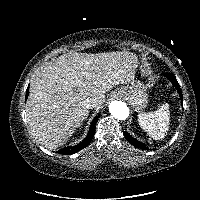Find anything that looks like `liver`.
<instances>
[{"instance_id":"obj_1","label":"liver","mask_w":200,"mask_h":200,"mask_svg":"<svg viewBox=\"0 0 200 200\" xmlns=\"http://www.w3.org/2000/svg\"><path fill=\"white\" fill-rule=\"evenodd\" d=\"M137 66L136 55L127 51L70 52L43 65L31 79L26 104L34 138L49 149L66 143L89 114L82 101L90 98L99 108L106 92L134 79Z\"/></svg>"}]
</instances>
